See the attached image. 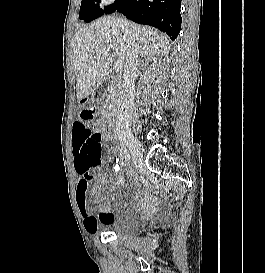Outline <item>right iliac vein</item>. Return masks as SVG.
<instances>
[{"label":"right iliac vein","mask_w":265,"mask_h":273,"mask_svg":"<svg viewBox=\"0 0 265 273\" xmlns=\"http://www.w3.org/2000/svg\"><path fill=\"white\" fill-rule=\"evenodd\" d=\"M126 143L133 155L135 162L140 166L142 164L143 154L139 141L135 136L128 135L126 138Z\"/></svg>","instance_id":"right-iliac-vein-1"}]
</instances>
